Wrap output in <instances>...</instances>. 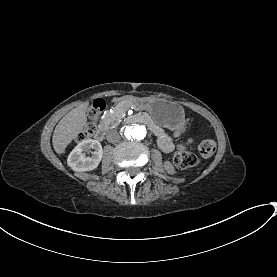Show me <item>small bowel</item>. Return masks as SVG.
Returning <instances> with one entry per match:
<instances>
[{"mask_svg": "<svg viewBox=\"0 0 277 277\" xmlns=\"http://www.w3.org/2000/svg\"><path fill=\"white\" fill-rule=\"evenodd\" d=\"M154 131L158 145L160 149L165 153H170L174 150V141L184 135L186 131L185 125H179L175 128L172 135L168 134L164 129L160 127L151 126Z\"/></svg>", "mask_w": 277, "mask_h": 277, "instance_id": "obj_1", "label": "small bowel"}]
</instances>
